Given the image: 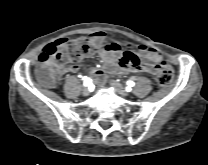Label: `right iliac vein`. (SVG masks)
Wrapping results in <instances>:
<instances>
[{
  "label": "right iliac vein",
  "instance_id": "63e3f726",
  "mask_svg": "<svg viewBox=\"0 0 208 165\" xmlns=\"http://www.w3.org/2000/svg\"><path fill=\"white\" fill-rule=\"evenodd\" d=\"M82 94L84 96H88L90 94V90L88 88H84L83 91H82Z\"/></svg>",
  "mask_w": 208,
  "mask_h": 165
}]
</instances>
